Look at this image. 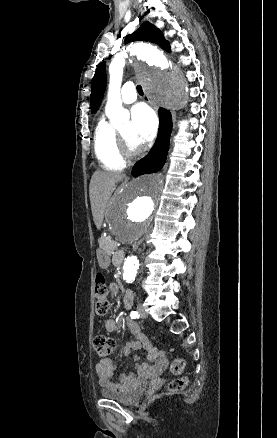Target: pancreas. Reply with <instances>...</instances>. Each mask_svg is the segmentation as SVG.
Listing matches in <instances>:
<instances>
[{
	"mask_svg": "<svg viewBox=\"0 0 277 438\" xmlns=\"http://www.w3.org/2000/svg\"><path fill=\"white\" fill-rule=\"evenodd\" d=\"M112 231H102L101 235H98V244H101V250L103 253H117L118 241L114 243Z\"/></svg>",
	"mask_w": 277,
	"mask_h": 438,
	"instance_id": "pancreas-1",
	"label": "pancreas"
}]
</instances>
